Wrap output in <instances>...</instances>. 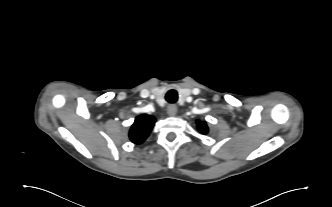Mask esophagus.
Returning a JSON list of instances; mask_svg holds the SVG:
<instances>
[{
    "instance_id": "1",
    "label": "esophagus",
    "mask_w": 332,
    "mask_h": 207,
    "mask_svg": "<svg viewBox=\"0 0 332 207\" xmlns=\"http://www.w3.org/2000/svg\"><path fill=\"white\" fill-rule=\"evenodd\" d=\"M167 113L170 116H175L177 114V106L176 105H169L167 108Z\"/></svg>"
}]
</instances>
